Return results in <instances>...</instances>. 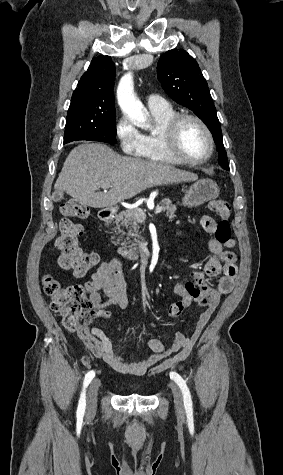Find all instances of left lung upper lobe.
Wrapping results in <instances>:
<instances>
[{"instance_id": "1", "label": "left lung upper lobe", "mask_w": 283, "mask_h": 475, "mask_svg": "<svg viewBox=\"0 0 283 475\" xmlns=\"http://www.w3.org/2000/svg\"><path fill=\"white\" fill-rule=\"evenodd\" d=\"M158 80L177 103L192 110L210 129L222 137L216 109L198 63L183 49L164 53L157 65Z\"/></svg>"}]
</instances>
